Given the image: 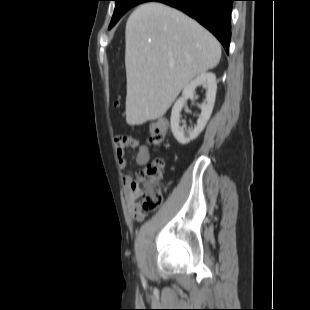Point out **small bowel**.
Instances as JSON below:
<instances>
[{
	"instance_id": "obj_1",
	"label": "small bowel",
	"mask_w": 310,
	"mask_h": 310,
	"mask_svg": "<svg viewBox=\"0 0 310 310\" xmlns=\"http://www.w3.org/2000/svg\"><path fill=\"white\" fill-rule=\"evenodd\" d=\"M116 156L120 167L125 168L128 164L126 158V149L129 147L137 149L136 163L138 165H146L151 158L150 151L148 147L141 144L137 138L132 135H122L117 136L114 139ZM122 179L124 183V194L125 199L128 204V211L130 215L137 221H141L145 218L147 212L138 206L134 201V195L129 189L130 181L132 180V174L130 171L126 170L122 174Z\"/></svg>"
}]
</instances>
